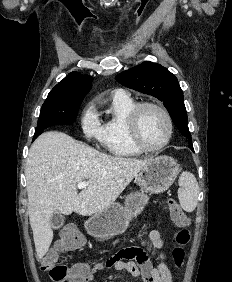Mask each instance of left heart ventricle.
<instances>
[{
  "label": "left heart ventricle",
  "instance_id": "1",
  "mask_svg": "<svg viewBox=\"0 0 232 282\" xmlns=\"http://www.w3.org/2000/svg\"><path fill=\"white\" fill-rule=\"evenodd\" d=\"M139 132L142 140L149 146L161 144L168 133V127L163 115L153 109L143 110L139 120Z\"/></svg>",
  "mask_w": 232,
  "mask_h": 282
}]
</instances>
